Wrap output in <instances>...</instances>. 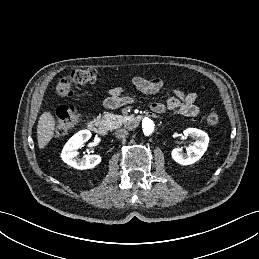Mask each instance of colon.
<instances>
[{
    "label": "colon",
    "mask_w": 259,
    "mask_h": 259,
    "mask_svg": "<svg viewBox=\"0 0 259 259\" xmlns=\"http://www.w3.org/2000/svg\"><path fill=\"white\" fill-rule=\"evenodd\" d=\"M98 71L93 68L76 69L67 77L62 78L56 85V92L63 97H69L73 94V84L89 85L98 79ZM57 123L54 128L55 136H64L78 123L80 113L77 108L71 106H61L57 110ZM220 118L216 112H210L206 116V123L215 126L219 123Z\"/></svg>",
    "instance_id": "1"
}]
</instances>
